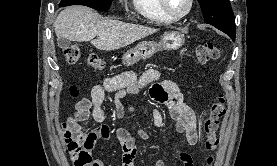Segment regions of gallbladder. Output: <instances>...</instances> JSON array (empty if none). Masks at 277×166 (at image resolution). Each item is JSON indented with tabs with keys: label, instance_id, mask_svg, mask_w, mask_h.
Returning <instances> with one entry per match:
<instances>
[{
	"label": "gallbladder",
	"instance_id": "obj_1",
	"mask_svg": "<svg viewBox=\"0 0 277 166\" xmlns=\"http://www.w3.org/2000/svg\"><path fill=\"white\" fill-rule=\"evenodd\" d=\"M58 46L61 48H67L70 46V41L68 39L65 38H59L57 40Z\"/></svg>",
	"mask_w": 277,
	"mask_h": 166
}]
</instances>
